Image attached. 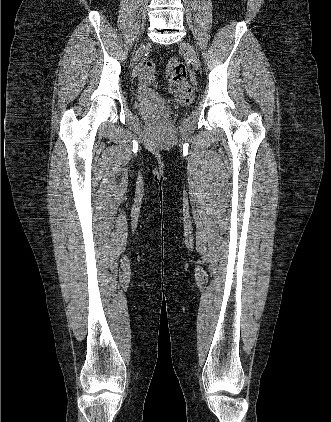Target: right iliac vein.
I'll return each mask as SVG.
<instances>
[{"mask_svg": "<svg viewBox=\"0 0 331 422\" xmlns=\"http://www.w3.org/2000/svg\"><path fill=\"white\" fill-rule=\"evenodd\" d=\"M145 49V45H142L136 52V55L133 59V63L134 65H137V63L139 62V60L141 59V57L143 56V52Z\"/></svg>", "mask_w": 331, "mask_h": 422, "instance_id": "right-iliac-vein-1", "label": "right iliac vein"}]
</instances>
